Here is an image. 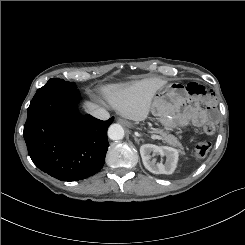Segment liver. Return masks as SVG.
Segmentation results:
<instances>
[{"label": "liver", "mask_w": 245, "mask_h": 245, "mask_svg": "<svg viewBox=\"0 0 245 245\" xmlns=\"http://www.w3.org/2000/svg\"><path fill=\"white\" fill-rule=\"evenodd\" d=\"M165 81L153 77L129 83L110 84L102 88L109 104L123 117L133 121L147 118L152 99ZM88 110L96 106L87 102Z\"/></svg>", "instance_id": "1"}]
</instances>
